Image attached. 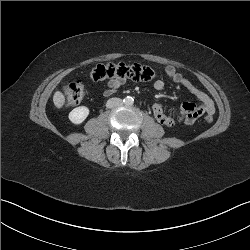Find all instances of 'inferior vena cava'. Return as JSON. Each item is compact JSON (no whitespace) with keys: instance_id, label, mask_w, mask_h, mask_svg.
Masks as SVG:
<instances>
[{"instance_id":"1","label":"inferior vena cava","mask_w":250,"mask_h":250,"mask_svg":"<svg viewBox=\"0 0 250 250\" xmlns=\"http://www.w3.org/2000/svg\"><path fill=\"white\" fill-rule=\"evenodd\" d=\"M123 104V101L122 99L120 98H111L107 101L106 103V106L108 108H114V107H117V106H121Z\"/></svg>"}]
</instances>
